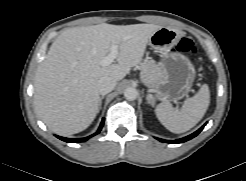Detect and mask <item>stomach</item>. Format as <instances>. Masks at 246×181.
I'll list each match as a JSON object with an SVG mask.
<instances>
[{"label":"stomach","instance_id":"obj_1","mask_svg":"<svg viewBox=\"0 0 246 181\" xmlns=\"http://www.w3.org/2000/svg\"><path fill=\"white\" fill-rule=\"evenodd\" d=\"M181 37V31L161 27L149 39V45L161 54L159 66L162 71L161 79L150 86L152 94L147 95V102L152 106L157 100L170 102L182 99L193 85L196 77L194 65L181 53L171 52Z\"/></svg>","mask_w":246,"mask_h":181}]
</instances>
